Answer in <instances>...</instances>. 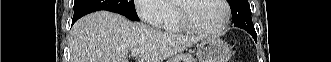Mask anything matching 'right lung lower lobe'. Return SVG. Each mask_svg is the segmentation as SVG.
Instances as JSON below:
<instances>
[{
    "label": "right lung lower lobe",
    "instance_id": "1",
    "mask_svg": "<svg viewBox=\"0 0 331 62\" xmlns=\"http://www.w3.org/2000/svg\"><path fill=\"white\" fill-rule=\"evenodd\" d=\"M78 19L73 18L72 24H74Z\"/></svg>",
    "mask_w": 331,
    "mask_h": 62
}]
</instances>
